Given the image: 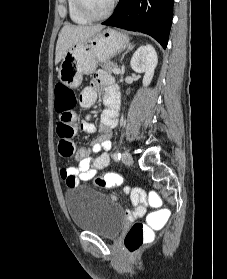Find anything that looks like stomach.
Masks as SVG:
<instances>
[{
  "instance_id": "obj_1",
  "label": "stomach",
  "mask_w": 227,
  "mask_h": 279,
  "mask_svg": "<svg viewBox=\"0 0 227 279\" xmlns=\"http://www.w3.org/2000/svg\"><path fill=\"white\" fill-rule=\"evenodd\" d=\"M129 45V37L114 29L100 31L86 41L74 44L58 69V79L69 87L81 85L84 74L95 71L98 62L109 61Z\"/></svg>"
}]
</instances>
